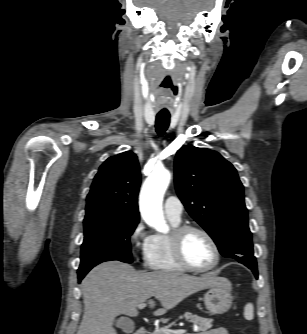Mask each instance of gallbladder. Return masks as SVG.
Returning <instances> with one entry per match:
<instances>
[{"instance_id":"gallbladder-1","label":"gallbladder","mask_w":307,"mask_h":334,"mask_svg":"<svg viewBox=\"0 0 307 334\" xmlns=\"http://www.w3.org/2000/svg\"><path fill=\"white\" fill-rule=\"evenodd\" d=\"M117 327H119L125 333H131L134 331V322L129 318H120L116 322Z\"/></svg>"}]
</instances>
